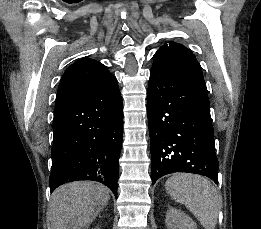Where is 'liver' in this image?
Listing matches in <instances>:
<instances>
[{
    "mask_svg": "<svg viewBox=\"0 0 261 229\" xmlns=\"http://www.w3.org/2000/svg\"><path fill=\"white\" fill-rule=\"evenodd\" d=\"M109 199V189L96 181L58 187L52 193L48 213L51 229H89Z\"/></svg>",
    "mask_w": 261,
    "mask_h": 229,
    "instance_id": "liver-1",
    "label": "liver"
}]
</instances>
